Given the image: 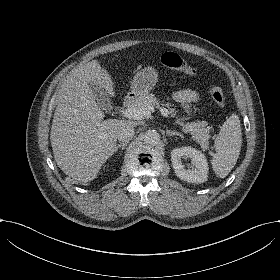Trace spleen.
Masks as SVG:
<instances>
[{"mask_svg":"<svg viewBox=\"0 0 280 280\" xmlns=\"http://www.w3.org/2000/svg\"><path fill=\"white\" fill-rule=\"evenodd\" d=\"M242 145V128L239 117L233 113L223 123L215 139V151L211 163L215 173L224 178L237 162Z\"/></svg>","mask_w":280,"mask_h":280,"instance_id":"obj_1","label":"spleen"}]
</instances>
